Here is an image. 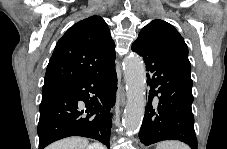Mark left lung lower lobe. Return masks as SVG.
Masks as SVG:
<instances>
[{"mask_svg": "<svg viewBox=\"0 0 227 149\" xmlns=\"http://www.w3.org/2000/svg\"><path fill=\"white\" fill-rule=\"evenodd\" d=\"M132 50L143 57L150 86L140 141L148 146L162 140H180L197 149L190 75L147 28L141 30Z\"/></svg>", "mask_w": 227, "mask_h": 149, "instance_id": "0a47b994", "label": "left lung lower lobe"}]
</instances>
